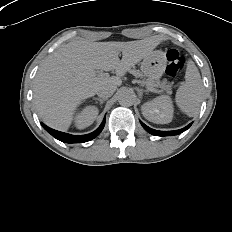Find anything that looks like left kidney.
<instances>
[{
    "instance_id": "obj_1",
    "label": "left kidney",
    "mask_w": 232,
    "mask_h": 232,
    "mask_svg": "<svg viewBox=\"0 0 232 232\" xmlns=\"http://www.w3.org/2000/svg\"><path fill=\"white\" fill-rule=\"evenodd\" d=\"M143 116L154 123L163 124L171 122L174 108L169 96L161 95L141 106Z\"/></svg>"
}]
</instances>
